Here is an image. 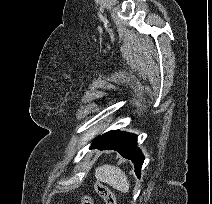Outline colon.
Returning <instances> with one entry per match:
<instances>
[{"label":"colon","mask_w":212,"mask_h":204,"mask_svg":"<svg viewBox=\"0 0 212 204\" xmlns=\"http://www.w3.org/2000/svg\"><path fill=\"white\" fill-rule=\"evenodd\" d=\"M95 190L97 194L104 200L105 204H116V198L113 192L104 184L96 182ZM81 204H94L90 196L84 195L81 198Z\"/></svg>","instance_id":"1"}]
</instances>
